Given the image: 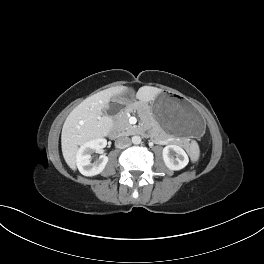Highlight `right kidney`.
Returning <instances> with one entry per match:
<instances>
[{"label": "right kidney", "mask_w": 264, "mask_h": 264, "mask_svg": "<svg viewBox=\"0 0 264 264\" xmlns=\"http://www.w3.org/2000/svg\"><path fill=\"white\" fill-rule=\"evenodd\" d=\"M106 144L107 141L105 139L98 138L87 141L81 145L76 154V165L82 175L95 176L104 170L108 162V157L106 155H100L98 160L92 163L91 154L101 150Z\"/></svg>", "instance_id": "ca27d5eb"}]
</instances>
